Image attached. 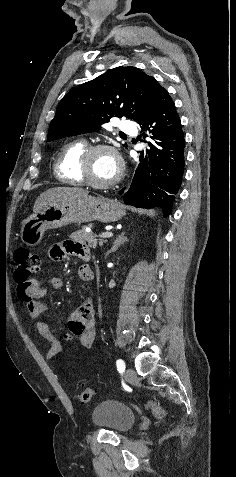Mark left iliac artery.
I'll use <instances>...</instances> for the list:
<instances>
[{"instance_id":"1","label":"left iliac artery","mask_w":236,"mask_h":477,"mask_svg":"<svg viewBox=\"0 0 236 477\" xmlns=\"http://www.w3.org/2000/svg\"><path fill=\"white\" fill-rule=\"evenodd\" d=\"M116 366L119 372H124L125 370V363L122 359H118L116 361Z\"/></svg>"}]
</instances>
